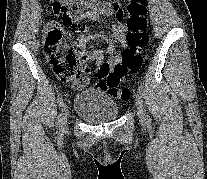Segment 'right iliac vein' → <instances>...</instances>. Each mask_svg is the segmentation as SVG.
<instances>
[{
  "instance_id": "1",
  "label": "right iliac vein",
  "mask_w": 207,
  "mask_h": 179,
  "mask_svg": "<svg viewBox=\"0 0 207 179\" xmlns=\"http://www.w3.org/2000/svg\"><path fill=\"white\" fill-rule=\"evenodd\" d=\"M67 119H68V106L66 104H63L61 109L60 120H59L61 130L65 129L67 124Z\"/></svg>"
}]
</instances>
